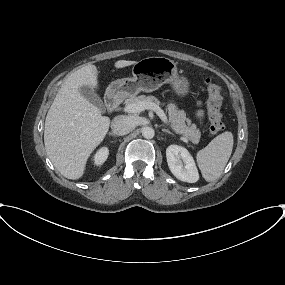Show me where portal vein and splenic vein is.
Here are the masks:
<instances>
[{
    "label": "portal vein and splenic vein",
    "instance_id": "18ae733b",
    "mask_svg": "<svg viewBox=\"0 0 285 285\" xmlns=\"http://www.w3.org/2000/svg\"><path fill=\"white\" fill-rule=\"evenodd\" d=\"M145 109L153 110L165 124H168V119L164 111L154 103L138 102L124 107V111L127 113H139Z\"/></svg>",
    "mask_w": 285,
    "mask_h": 285
}]
</instances>
